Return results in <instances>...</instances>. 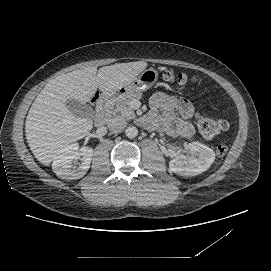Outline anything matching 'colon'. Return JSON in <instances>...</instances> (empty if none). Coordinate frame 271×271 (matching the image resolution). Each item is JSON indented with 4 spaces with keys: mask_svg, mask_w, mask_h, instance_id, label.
<instances>
[{
    "mask_svg": "<svg viewBox=\"0 0 271 271\" xmlns=\"http://www.w3.org/2000/svg\"><path fill=\"white\" fill-rule=\"evenodd\" d=\"M165 78L167 81L175 82L181 86L193 80L192 77L186 75L185 73L173 72L166 73ZM196 127L204 138L209 139L227 130L228 123L225 120L219 118L200 117L196 121ZM227 151L228 147L225 144H221L216 148V154L219 157L225 156Z\"/></svg>",
    "mask_w": 271,
    "mask_h": 271,
    "instance_id": "obj_1",
    "label": "colon"
}]
</instances>
